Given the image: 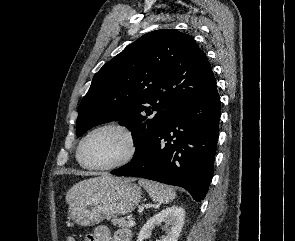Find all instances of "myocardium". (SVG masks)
Returning <instances> with one entry per match:
<instances>
[{"mask_svg": "<svg viewBox=\"0 0 295 241\" xmlns=\"http://www.w3.org/2000/svg\"><path fill=\"white\" fill-rule=\"evenodd\" d=\"M104 129H115V130L121 132L127 140L128 151H127L126 155L121 160H119L118 162H115L113 164L104 165V166L89 165V164L85 163L82 158L84 145L91 135H93L95 132H98V131L104 130ZM137 151H138V143H137V139H136L134 132L126 125H123L120 123H115V122H110V123L101 124L93 129H91L80 141L78 148H77L76 156H77V160H78L79 164L85 169L94 170V171H109V170H114V169L120 168V167L130 163L133 160V158L135 157Z\"/></svg>", "mask_w": 295, "mask_h": 241, "instance_id": "f54148a6", "label": "myocardium"}]
</instances>
